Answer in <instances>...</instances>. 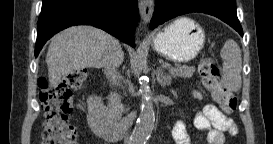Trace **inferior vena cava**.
I'll return each instance as SVG.
<instances>
[{
  "label": "inferior vena cava",
  "instance_id": "obj_1",
  "mask_svg": "<svg viewBox=\"0 0 273 144\" xmlns=\"http://www.w3.org/2000/svg\"><path fill=\"white\" fill-rule=\"evenodd\" d=\"M122 56V49L119 42L113 39L111 45L104 53L103 65L106 77L110 80L113 85H120V81L123 80L122 75L118 71V63L120 62ZM128 127H124L125 137L124 144H130V139L128 135Z\"/></svg>",
  "mask_w": 273,
  "mask_h": 144
}]
</instances>
